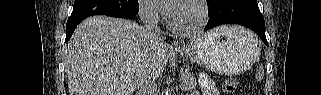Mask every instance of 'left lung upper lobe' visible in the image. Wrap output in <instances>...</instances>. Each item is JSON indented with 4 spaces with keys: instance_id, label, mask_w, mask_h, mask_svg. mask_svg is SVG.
Listing matches in <instances>:
<instances>
[{
    "instance_id": "obj_1",
    "label": "left lung upper lobe",
    "mask_w": 321,
    "mask_h": 95,
    "mask_svg": "<svg viewBox=\"0 0 321 95\" xmlns=\"http://www.w3.org/2000/svg\"><path fill=\"white\" fill-rule=\"evenodd\" d=\"M212 1H214V0H208V3H209V2H212Z\"/></svg>"
}]
</instances>
